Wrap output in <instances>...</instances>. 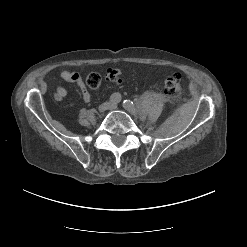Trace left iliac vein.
<instances>
[{
    "label": "left iliac vein",
    "mask_w": 247,
    "mask_h": 247,
    "mask_svg": "<svg viewBox=\"0 0 247 247\" xmlns=\"http://www.w3.org/2000/svg\"><path fill=\"white\" fill-rule=\"evenodd\" d=\"M109 109H110V110H116V109H118V106H117L116 103H111L110 106H109ZM128 111H129V110H128Z\"/></svg>",
    "instance_id": "1"
}]
</instances>
